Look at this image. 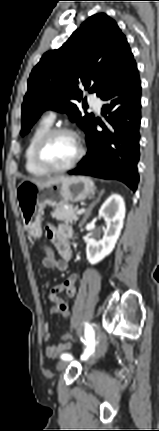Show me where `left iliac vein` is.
<instances>
[{"label": "left iliac vein", "instance_id": "4c4485c4", "mask_svg": "<svg viewBox=\"0 0 159 431\" xmlns=\"http://www.w3.org/2000/svg\"><path fill=\"white\" fill-rule=\"evenodd\" d=\"M104 347H105L104 335L102 333L98 332L97 333V348H96L94 355L91 357L89 363H93L95 360H97L98 358H100L103 355ZM67 364H68L67 360L62 359L57 364V370L63 371L67 367Z\"/></svg>", "mask_w": 159, "mask_h": 431}]
</instances>
